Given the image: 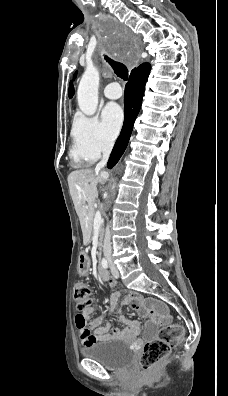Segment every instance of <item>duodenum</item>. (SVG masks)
I'll use <instances>...</instances> for the list:
<instances>
[{"label": "duodenum", "mask_w": 228, "mask_h": 396, "mask_svg": "<svg viewBox=\"0 0 228 396\" xmlns=\"http://www.w3.org/2000/svg\"><path fill=\"white\" fill-rule=\"evenodd\" d=\"M101 251L98 252V256H100ZM99 275L103 280L107 279V272L105 270H103L101 267H99L98 269Z\"/></svg>", "instance_id": "obj_1"}]
</instances>
